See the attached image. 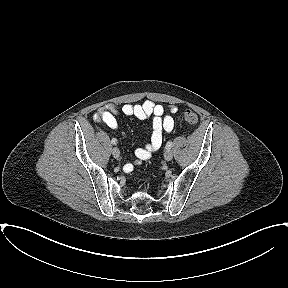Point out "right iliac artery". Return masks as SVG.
Masks as SVG:
<instances>
[{"instance_id":"1","label":"right iliac artery","mask_w":288,"mask_h":288,"mask_svg":"<svg viewBox=\"0 0 288 288\" xmlns=\"http://www.w3.org/2000/svg\"><path fill=\"white\" fill-rule=\"evenodd\" d=\"M111 143H112L113 145H115V144L117 143V139L113 138V139L111 140Z\"/></svg>"}]
</instances>
